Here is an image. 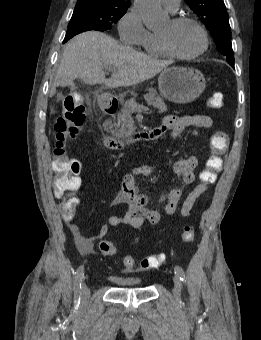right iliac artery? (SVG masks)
I'll use <instances>...</instances> for the list:
<instances>
[{"instance_id": "1", "label": "right iliac artery", "mask_w": 261, "mask_h": 340, "mask_svg": "<svg viewBox=\"0 0 261 340\" xmlns=\"http://www.w3.org/2000/svg\"><path fill=\"white\" fill-rule=\"evenodd\" d=\"M84 275V266H80L74 276V303L77 308L81 300V282Z\"/></svg>"}]
</instances>
